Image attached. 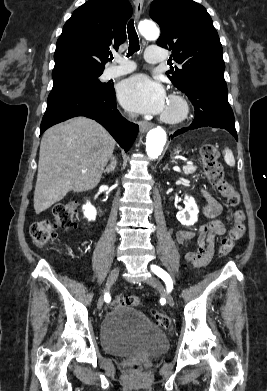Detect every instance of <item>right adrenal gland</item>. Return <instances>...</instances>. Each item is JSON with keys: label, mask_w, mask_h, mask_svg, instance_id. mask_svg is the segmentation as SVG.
I'll return each mask as SVG.
<instances>
[{"label": "right adrenal gland", "mask_w": 267, "mask_h": 391, "mask_svg": "<svg viewBox=\"0 0 267 391\" xmlns=\"http://www.w3.org/2000/svg\"><path fill=\"white\" fill-rule=\"evenodd\" d=\"M116 165H117V161L115 160L103 172L104 173H111V172H113L115 170V168H116Z\"/></svg>", "instance_id": "1"}]
</instances>
